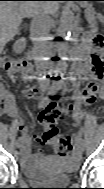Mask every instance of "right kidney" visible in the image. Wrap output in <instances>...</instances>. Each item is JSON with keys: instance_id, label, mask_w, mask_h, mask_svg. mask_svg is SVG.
<instances>
[{"instance_id": "1", "label": "right kidney", "mask_w": 104, "mask_h": 189, "mask_svg": "<svg viewBox=\"0 0 104 189\" xmlns=\"http://www.w3.org/2000/svg\"><path fill=\"white\" fill-rule=\"evenodd\" d=\"M25 46H26V42H25V39H19L15 42L14 46H13V51L16 53V54H20L23 52V50L25 49Z\"/></svg>"}]
</instances>
